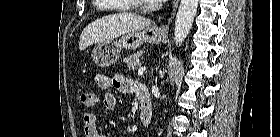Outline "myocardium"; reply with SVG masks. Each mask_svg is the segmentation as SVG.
Segmentation results:
<instances>
[{"instance_id": "myocardium-1", "label": "myocardium", "mask_w": 280, "mask_h": 137, "mask_svg": "<svg viewBox=\"0 0 280 137\" xmlns=\"http://www.w3.org/2000/svg\"><path fill=\"white\" fill-rule=\"evenodd\" d=\"M140 8L152 10L155 8L154 4H149L146 0H133Z\"/></svg>"}]
</instances>
